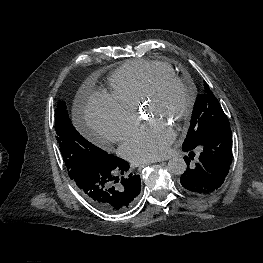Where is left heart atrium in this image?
I'll return each instance as SVG.
<instances>
[{
  "mask_svg": "<svg viewBox=\"0 0 263 263\" xmlns=\"http://www.w3.org/2000/svg\"><path fill=\"white\" fill-rule=\"evenodd\" d=\"M172 126L161 118H153L129 136L121 147V154L135 164H143L164 157L173 142Z\"/></svg>",
  "mask_w": 263,
  "mask_h": 263,
  "instance_id": "39dd6f15",
  "label": "left heart atrium"
}]
</instances>
